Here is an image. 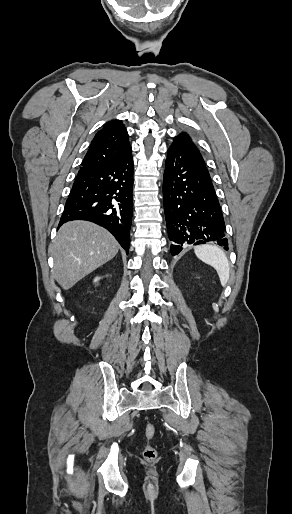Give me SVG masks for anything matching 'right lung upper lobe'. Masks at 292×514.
<instances>
[{"instance_id": "obj_1", "label": "right lung upper lobe", "mask_w": 292, "mask_h": 514, "mask_svg": "<svg viewBox=\"0 0 292 514\" xmlns=\"http://www.w3.org/2000/svg\"><path fill=\"white\" fill-rule=\"evenodd\" d=\"M131 151L128 133L122 121L111 120L96 133L82 167L107 165L125 158Z\"/></svg>"}]
</instances>
